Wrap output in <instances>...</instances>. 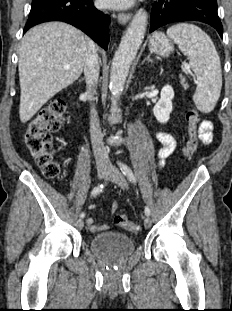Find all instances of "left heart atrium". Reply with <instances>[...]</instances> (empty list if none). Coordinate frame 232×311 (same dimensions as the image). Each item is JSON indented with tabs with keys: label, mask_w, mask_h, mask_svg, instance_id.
<instances>
[{
	"label": "left heart atrium",
	"mask_w": 232,
	"mask_h": 311,
	"mask_svg": "<svg viewBox=\"0 0 232 311\" xmlns=\"http://www.w3.org/2000/svg\"><path fill=\"white\" fill-rule=\"evenodd\" d=\"M135 0H100L101 4L106 8L125 9L131 7Z\"/></svg>",
	"instance_id": "left-heart-atrium-1"
}]
</instances>
